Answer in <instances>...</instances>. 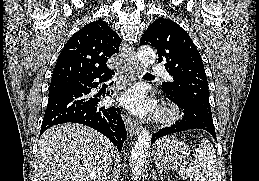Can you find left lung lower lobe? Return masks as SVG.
I'll return each mask as SVG.
<instances>
[{"label":"left lung lower lobe","mask_w":259,"mask_h":181,"mask_svg":"<svg viewBox=\"0 0 259 181\" xmlns=\"http://www.w3.org/2000/svg\"><path fill=\"white\" fill-rule=\"evenodd\" d=\"M164 93L170 100L174 101L181 110H183L184 116L180 121L176 122V124H173L171 127H165L154 133L152 136V143L163 136L190 129L206 130L216 140V132L211 115L195 108L187 100L179 99L175 96L169 95L166 92Z\"/></svg>","instance_id":"left-lung-lower-lobe-1"}]
</instances>
